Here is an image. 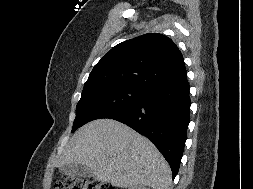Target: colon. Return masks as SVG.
Wrapping results in <instances>:
<instances>
[{"instance_id":"colon-1","label":"colon","mask_w":253,"mask_h":189,"mask_svg":"<svg viewBox=\"0 0 253 189\" xmlns=\"http://www.w3.org/2000/svg\"><path fill=\"white\" fill-rule=\"evenodd\" d=\"M54 189H115L112 185L78 176H68L55 183Z\"/></svg>"}]
</instances>
